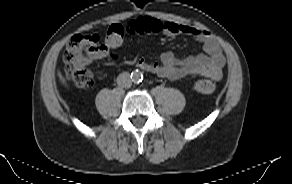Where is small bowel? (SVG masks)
<instances>
[{
    "instance_id": "obj_1",
    "label": "small bowel",
    "mask_w": 292,
    "mask_h": 184,
    "mask_svg": "<svg viewBox=\"0 0 292 184\" xmlns=\"http://www.w3.org/2000/svg\"><path fill=\"white\" fill-rule=\"evenodd\" d=\"M144 19H152L159 23L160 31L169 37L184 34L197 39L202 43L204 53L183 60L178 59L173 52L166 51L161 54L160 62L148 63L143 58L137 61V66L147 72L170 80H180L188 76H207L214 80H220L223 76L225 57L215 38L207 31L194 26L161 21L151 17H140L127 23L125 30L129 34H141L139 23ZM107 51L95 58H102ZM115 59V56H112Z\"/></svg>"
}]
</instances>
